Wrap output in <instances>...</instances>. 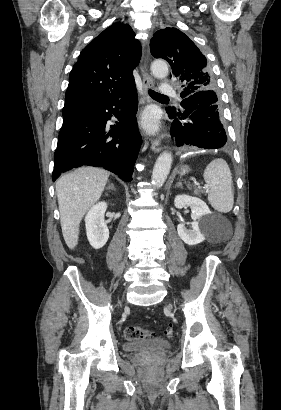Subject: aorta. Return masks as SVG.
Listing matches in <instances>:
<instances>
[{
	"label": "aorta",
	"mask_w": 281,
	"mask_h": 410,
	"mask_svg": "<svg viewBox=\"0 0 281 410\" xmlns=\"http://www.w3.org/2000/svg\"><path fill=\"white\" fill-rule=\"evenodd\" d=\"M152 74L156 78H165L169 73L168 65L165 61L156 60L151 65ZM172 165V154L163 152L158 157L152 173V183L156 186H162L167 179Z\"/></svg>",
	"instance_id": "obj_1"
}]
</instances>
